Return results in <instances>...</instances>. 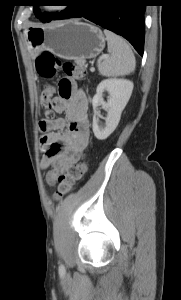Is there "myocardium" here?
<instances>
[{"label":"myocardium","instance_id":"1","mask_svg":"<svg viewBox=\"0 0 181 300\" xmlns=\"http://www.w3.org/2000/svg\"><path fill=\"white\" fill-rule=\"evenodd\" d=\"M66 7L63 5H53V6H45L44 9L47 10L51 14H58L65 10Z\"/></svg>","mask_w":181,"mask_h":300}]
</instances>
